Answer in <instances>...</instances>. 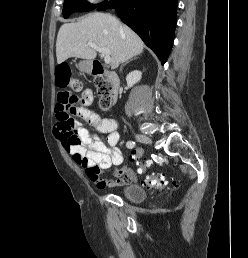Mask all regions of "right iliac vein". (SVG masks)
<instances>
[{"mask_svg": "<svg viewBox=\"0 0 248 258\" xmlns=\"http://www.w3.org/2000/svg\"><path fill=\"white\" fill-rule=\"evenodd\" d=\"M135 138L137 141L144 143V144H152V140L150 137L143 135V134H136Z\"/></svg>", "mask_w": 248, "mask_h": 258, "instance_id": "right-iliac-vein-1", "label": "right iliac vein"}]
</instances>
